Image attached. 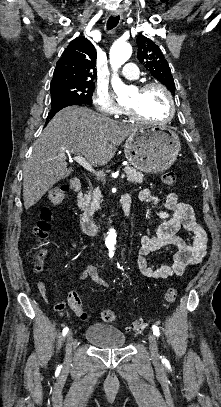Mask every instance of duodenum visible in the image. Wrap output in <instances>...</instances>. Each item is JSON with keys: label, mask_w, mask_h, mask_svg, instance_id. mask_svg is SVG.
<instances>
[{"label": "duodenum", "mask_w": 221, "mask_h": 407, "mask_svg": "<svg viewBox=\"0 0 221 407\" xmlns=\"http://www.w3.org/2000/svg\"><path fill=\"white\" fill-rule=\"evenodd\" d=\"M70 188L72 191L78 194V201L79 203H82V197L80 195L82 189L81 184L73 182L70 184ZM130 204H131L130 195L128 193H124L121 197V205L124 219H128L130 216ZM78 218L86 234L89 235L95 234L102 228L101 225L94 222V220L89 216V214L83 209L79 210Z\"/></svg>", "instance_id": "duodenum-1"}]
</instances>
